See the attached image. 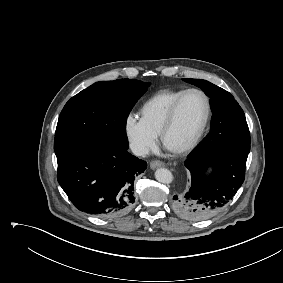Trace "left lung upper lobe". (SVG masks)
I'll use <instances>...</instances> for the list:
<instances>
[{
	"label": "left lung upper lobe",
	"mask_w": 283,
	"mask_h": 283,
	"mask_svg": "<svg viewBox=\"0 0 283 283\" xmlns=\"http://www.w3.org/2000/svg\"><path fill=\"white\" fill-rule=\"evenodd\" d=\"M201 88L210 98L211 129L193 153L213 150L250 151V133L245 114L234 97L226 90L201 79H183Z\"/></svg>",
	"instance_id": "left-lung-upper-lobe-1"
}]
</instances>
